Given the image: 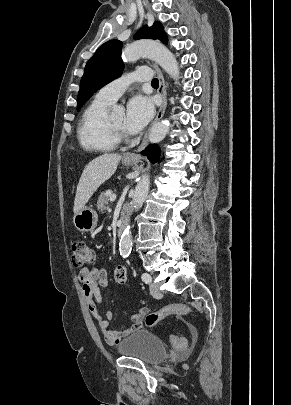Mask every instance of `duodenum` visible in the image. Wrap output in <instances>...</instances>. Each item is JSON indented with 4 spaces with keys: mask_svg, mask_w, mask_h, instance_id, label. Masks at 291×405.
<instances>
[{
    "mask_svg": "<svg viewBox=\"0 0 291 405\" xmlns=\"http://www.w3.org/2000/svg\"><path fill=\"white\" fill-rule=\"evenodd\" d=\"M126 222H127V209L125 208L122 211V215H121V223H120V226H119V229H118L119 234H121V232L123 231Z\"/></svg>",
    "mask_w": 291,
    "mask_h": 405,
    "instance_id": "1",
    "label": "duodenum"
}]
</instances>
